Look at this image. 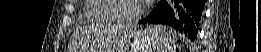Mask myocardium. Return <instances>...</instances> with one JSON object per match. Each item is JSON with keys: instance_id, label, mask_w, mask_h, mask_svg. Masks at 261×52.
Wrapping results in <instances>:
<instances>
[{"instance_id": "1", "label": "myocardium", "mask_w": 261, "mask_h": 52, "mask_svg": "<svg viewBox=\"0 0 261 52\" xmlns=\"http://www.w3.org/2000/svg\"><path fill=\"white\" fill-rule=\"evenodd\" d=\"M119 1H127V0H113L112 1V10H113L114 16L116 17L118 22H121V23H133V22H136L144 15V13L146 11V4L141 2L140 7H139V9H138L136 14H134L132 16H128V17L127 16H123V15H119L116 12L117 3Z\"/></svg>"}]
</instances>
